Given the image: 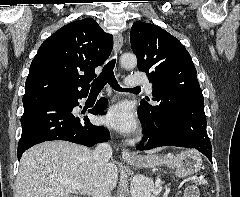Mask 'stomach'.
Masks as SVG:
<instances>
[{"mask_svg": "<svg viewBox=\"0 0 240 197\" xmlns=\"http://www.w3.org/2000/svg\"><path fill=\"white\" fill-rule=\"evenodd\" d=\"M129 164L138 168H152L158 164H166L173 169L178 177H186L197 173L202 168V158L194 150H187L176 155H167L160 158L157 155L139 156Z\"/></svg>", "mask_w": 240, "mask_h": 197, "instance_id": "stomach-1", "label": "stomach"}]
</instances>
